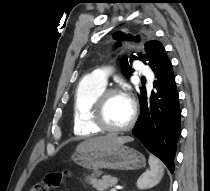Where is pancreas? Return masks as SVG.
Wrapping results in <instances>:
<instances>
[{
  "label": "pancreas",
  "instance_id": "cf45deb5",
  "mask_svg": "<svg viewBox=\"0 0 210 191\" xmlns=\"http://www.w3.org/2000/svg\"><path fill=\"white\" fill-rule=\"evenodd\" d=\"M90 184L98 191H106L110 186L116 184L118 179L110 175H105L102 179H97L95 174H91L87 177Z\"/></svg>",
  "mask_w": 210,
  "mask_h": 191
}]
</instances>
